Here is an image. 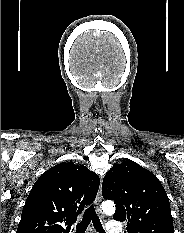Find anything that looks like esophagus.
Returning <instances> with one entry per match:
<instances>
[{
  "mask_svg": "<svg viewBox=\"0 0 184 233\" xmlns=\"http://www.w3.org/2000/svg\"><path fill=\"white\" fill-rule=\"evenodd\" d=\"M101 200H102V188L100 184L99 191H98V194L95 200V206H96V210L98 211V213H101V210H100Z\"/></svg>",
  "mask_w": 184,
  "mask_h": 233,
  "instance_id": "obj_1",
  "label": "esophagus"
}]
</instances>
